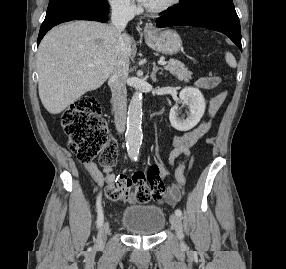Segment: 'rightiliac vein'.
I'll return each instance as SVG.
<instances>
[{"mask_svg":"<svg viewBox=\"0 0 286 269\" xmlns=\"http://www.w3.org/2000/svg\"><path fill=\"white\" fill-rule=\"evenodd\" d=\"M108 231H109V223L105 222L104 224L101 225L98 231L97 241H96L97 248L101 249L105 246Z\"/></svg>","mask_w":286,"mask_h":269,"instance_id":"63e3f726","label":"right iliac vein"}]
</instances>
